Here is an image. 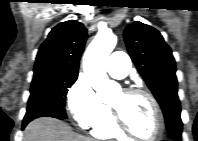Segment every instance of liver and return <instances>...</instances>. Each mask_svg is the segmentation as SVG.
<instances>
[{
    "label": "liver",
    "mask_w": 198,
    "mask_h": 141,
    "mask_svg": "<svg viewBox=\"0 0 198 141\" xmlns=\"http://www.w3.org/2000/svg\"><path fill=\"white\" fill-rule=\"evenodd\" d=\"M24 141H92L91 138L79 135L65 122L41 117L27 125L24 131Z\"/></svg>",
    "instance_id": "1"
}]
</instances>
